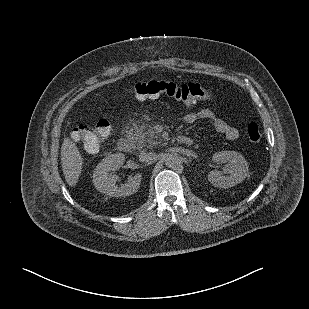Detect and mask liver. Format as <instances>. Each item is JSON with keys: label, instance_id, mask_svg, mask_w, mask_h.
I'll use <instances>...</instances> for the list:
<instances>
[{"label": "liver", "instance_id": "obj_1", "mask_svg": "<svg viewBox=\"0 0 309 309\" xmlns=\"http://www.w3.org/2000/svg\"><path fill=\"white\" fill-rule=\"evenodd\" d=\"M82 157L77 146L65 138L61 148V165L65 180L69 186H74L82 171Z\"/></svg>", "mask_w": 309, "mask_h": 309}]
</instances>
